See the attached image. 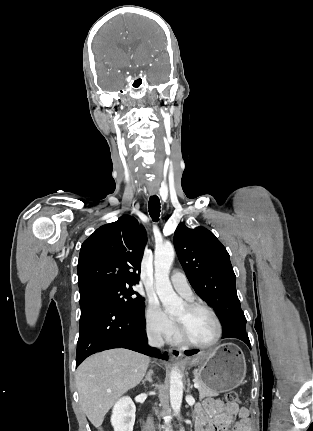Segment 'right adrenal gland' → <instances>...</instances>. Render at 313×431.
Wrapping results in <instances>:
<instances>
[{
    "mask_svg": "<svg viewBox=\"0 0 313 431\" xmlns=\"http://www.w3.org/2000/svg\"><path fill=\"white\" fill-rule=\"evenodd\" d=\"M152 375H153V371H152V370H149V371L146 373L145 378L142 380V384H143V385H145V383H146V382L152 383V382H153V380H152Z\"/></svg>",
    "mask_w": 313,
    "mask_h": 431,
    "instance_id": "1",
    "label": "right adrenal gland"
}]
</instances>
